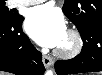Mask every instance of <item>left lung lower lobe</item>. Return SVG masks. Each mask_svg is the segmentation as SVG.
Returning <instances> with one entry per match:
<instances>
[{
  "label": "left lung lower lobe",
  "instance_id": "1",
  "mask_svg": "<svg viewBox=\"0 0 102 75\" xmlns=\"http://www.w3.org/2000/svg\"><path fill=\"white\" fill-rule=\"evenodd\" d=\"M78 30L83 40L82 51L73 59L57 61L58 75L102 71V24L82 25Z\"/></svg>",
  "mask_w": 102,
  "mask_h": 75
}]
</instances>
